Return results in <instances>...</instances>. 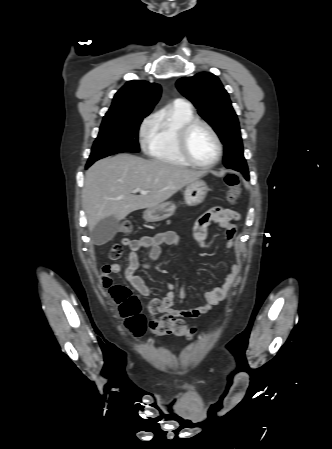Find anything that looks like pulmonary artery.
Wrapping results in <instances>:
<instances>
[{
  "label": "pulmonary artery",
  "mask_w": 332,
  "mask_h": 449,
  "mask_svg": "<svg viewBox=\"0 0 332 449\" xmlns=\"http://www.w3.org/2000/svg\"><path fill=\"white\" fill-rule=\"evenodd\" d=\"M175 103H186L185 101H183V100H181V99H178V100H176V102ZM187 105H189L188 103H186Z\"/></svg>",
  "instance_id": "pulmonary-artery-1"
}]
</instances>
